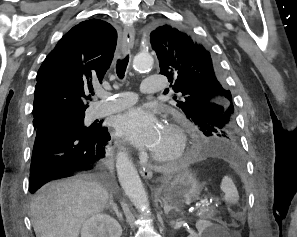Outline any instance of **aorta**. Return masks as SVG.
Instances as JSON below:
<instances>
[{"label": "aorta", "mask_w": 297, "mask_h": 237, "mask_svg": "<svg viewBox=\"0 0 297 237\" xmlns=\"http://www.w3.org/2000/svg\"><path fill=\"white\" fill-rule=\"evenodd\" d=\"M153 62L150 54L140 53L133 60V69L137 72L150 69ZM116 168L119 182L127 197L143 216H149L150 204L145 188L126 151L117 154Z\"/></svg>", "instance_id": "1"}]
</instances>
